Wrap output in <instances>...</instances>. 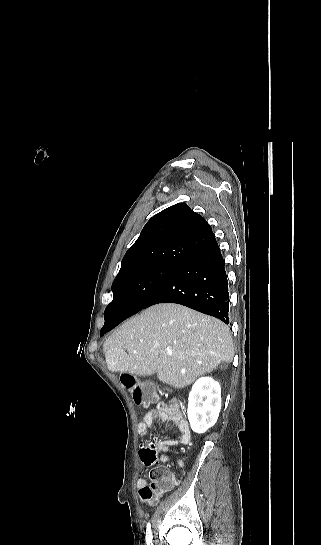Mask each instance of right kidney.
I'll return each instance as SVG.
<instances>
[{
	"instance_id": "right-kidney-1",
	"label": "right kidney",
	"mask_w": 321,
	"mask_h": 545,
	"mask_svg": "<svg viewBox=\"0 0 321 545\" xmlns=\"http://www.w3.org/2000/svg\"><path fill=\"white\" fill-rule=\"evenodd\" d=\"M221 411V387L211 377H201L188 397V421L194 433H206L215 425Z\"/></svg>"
}]
</instances>
